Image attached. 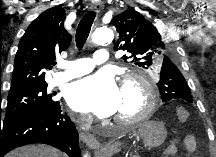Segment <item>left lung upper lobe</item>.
<instances>
[{
  "label": "left lung upper lobe",
  "mask_w": 216,
  "mask_h": 157,
  "mask_svg": "<svg viewBox=\"0 0 216 157\" xmlns=\"http://www.w3.org/2000/svg\"><path fill=\"white\" fill-rule=\"evenodd\" d=\"M110 24L119 33L114 50L126 51L122 57L125 61L145 69H155V74H160L157 86L162 101L193 102L182 75L185 71L178 64L177 48L172 45L175 39H170V35H162L164 27L151 23L133 8L114 16Z\"/></svg>",
  "instance_id": "1"
}]
</instances>
